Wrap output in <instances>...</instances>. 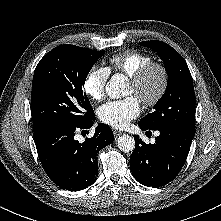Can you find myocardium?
<instances>
[{
  "mask_svg": "<svg viewBox=\"0 0 221 221\" xmlns=\"http://www.w3.org/2000/svg\"><path fill=\"white\" fill-rule=\"evenodd\" d=\"M154 72H158L160 75V82L156 91L151 95L141 94L139 97V100L146 107L156 105L167 92L170 82L168 69L162 63L153 61L142 67L134 76L131 77V84L134 89L137 92H142Z\"/></svg>",
  "mask_w": 221,
  "mask_h": 221,
  "instance_id": "f54148a6",
  "label": "myocardium"
}]
</instances>
